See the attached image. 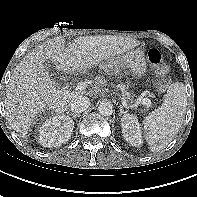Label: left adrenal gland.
I'll list each match as a JSON object with an SVG mask.
<instances>
[{
	"label": "left adrenal gland",
	"instance_id": "1",
	"mask_svg": "<svg viewBox=\"0 0 197 197\" xmlns=\"http://www.w3.org/2000/svg\"><path fill=\"white\" fill-rule=\"evenodd\" d=\"M127 112L124 111V108L122 105H120V112H119V116L121 117L123 114H126Z\"/></svg>",
	"mask_w": 197,
	"mask_h": 197
}]
</instances>
